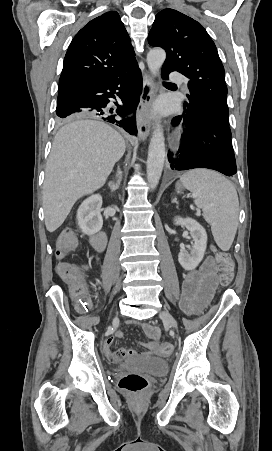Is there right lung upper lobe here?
Here are the masks:
<instances>
[{
    "mask_svg": "<svg viewBox=\"0 0 272 451\" xmlns=\"http://www.w3.org/2000/svg\"><path fill=\"white\" fill-rule=\"evenodd\" d=\"M135 62L131 40L119 14L106 12L85 25L70 43L58 92L108 80Z\"/></svg>",
    "mask_w": 272,
    "mask_h": 451,
    "instance_id": "1",
    "label": "right lung upper lobe"
}]
</instances>
